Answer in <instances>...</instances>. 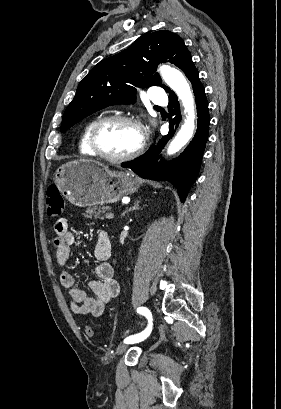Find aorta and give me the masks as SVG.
<instances>
[{
  "mask_svg": "<svg viewBox=\"0 0 281 409\" xmlns=\"http://www.w3.org/2000/svg\"><path fill=\"white\" fill-rule=\"evenodd\" d=\"M160 73L167 85L181 99L185 109L186 119L181 129L170 143L167 153L178 152L193 136L195 129V101L190 86L184 75L170 66L160 67Z\"/></svg>",
  "mask_w": 281,
  "mask_h": 409,
  "instance_id": "obj_1",
  "label": "aorta"
}]
</instances>
